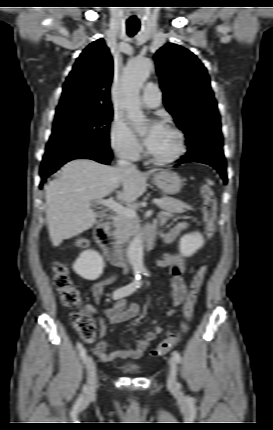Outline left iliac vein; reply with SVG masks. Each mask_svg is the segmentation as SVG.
I'll list each match as a JSON object with an SVG mask.
<instances>
[{"instance_id": "obj_1", "label": "left iliac vein", "mask_w": 273, "mask_h": 430, "mask_svg": "<svg viewBox=\"0 0 273 430\" xmlns=\"http://www.w3.org/2000/svg\"><path fill=\"white\" fill-rule=\"evenodd\" d=\"M177 362L175 361L174 357H171L169 359V374H168V387L171 390H177L179 388V384L177 382Z\"/></svg>"}]
</instances>
